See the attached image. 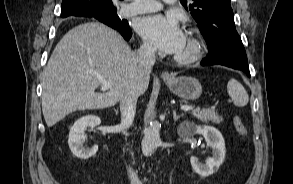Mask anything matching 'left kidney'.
<instances>
[{
  "label": "left kidney",
  "mask_w": 293,
  "mask_h": 184,
  "mask_svg": "<svg viewBox=\"0 0 293 184\" xmlns=\"http://www.w3.org/2000/svg\"><path fill=\"white\" fill-rule=\"evenodd\" d=\"M193 133L203 135L207 145L213 150V156L208 158L205 164L199 163L196 157L190 159L193 170L201 177H208L219 169L225 159L224 138L220 131L212 126H193Z\"/></svg>",
  "instance_id": "5707ae66"
}]
</instances>
